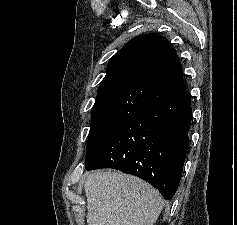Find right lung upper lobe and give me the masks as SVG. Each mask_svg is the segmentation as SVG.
I'll return each instance as SVG.
<instances>
[{"mask_svg":"<svg viewBox=\"0 0 237 225\" xmlns=\"http://www.w3.org/2000/svg\"><path fill=\"white\" fill-rule=\"evenodd\" d=\"M182 66L167 39L156 34L130 40L110 60L92 108V120H130L185 92Z\"/></svg>","mask_w":237,"mask_h":225,"instance_id":"right-lung-upper-lobe-1","label":"right lung upper lobe"}]
</instances>
